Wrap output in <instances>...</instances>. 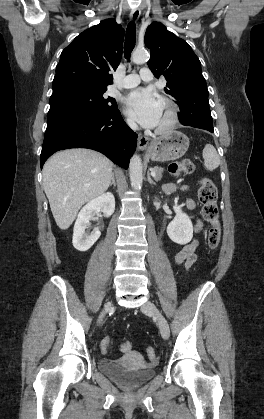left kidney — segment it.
I'll list each match as a JSON object with an SVG mask.
<instances>
[{"instance_id":"5707ae66","label":"left kidney","mask_w":264,"mask_h":419,"mask_svg":"<svg viewBox=\"0 0 264 419\" xmlns=\"http://www.w3.org/2000/svg\"><path fill=\"white\" fill-rule=\"evenodd\" d=\"M175 218L167 226V234L169 238L180 245L187 244L193 237V225L189 216L182 212L181 207L175 205Z\"/></svg>"}]
</instances>
